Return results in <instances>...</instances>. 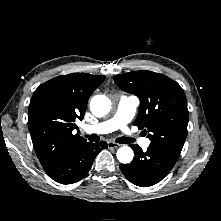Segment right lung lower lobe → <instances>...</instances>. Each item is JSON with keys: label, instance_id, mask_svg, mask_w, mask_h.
Wrapping results in <instances>:
<instances>
[{"label": "right lung lower lobe", "instance_id": "obj_1", "mask_svg": "<svg viewBox=\"0 0 221 221\" xmlns=\"http://www.w3.org/2000/svg\"><path fill=\"white\" fill-rule=\"evenodd\" d=\"M107 148V143H87L69 157L54 163L45 171L56 182L72 184L81 180L90 170L97 154Z\"/></svg>", "mask_w": 221, "mask_h": 221}]
</instances>
